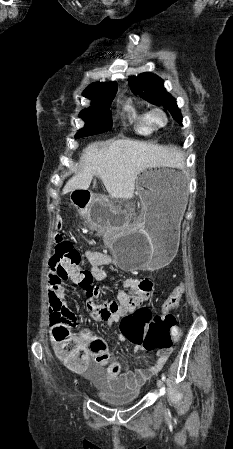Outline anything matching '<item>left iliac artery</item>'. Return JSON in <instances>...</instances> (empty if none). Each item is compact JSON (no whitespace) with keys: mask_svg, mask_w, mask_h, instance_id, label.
Here are the masks:
<instances>
[{"mask_svg":"<svg viewBox=\"0 0 233 449\" xmlns=\"http://www.w3.org/2000/svg\"><path fill=\"white\" fill-rule=\"evenodd\" d=\"M166 377L164 374H162V380L165 381Z\"/></svg>","mask_w":233,"mask_h":449,"instance_id":"obj_1","label":"left iliac artery"}]
</instances>
